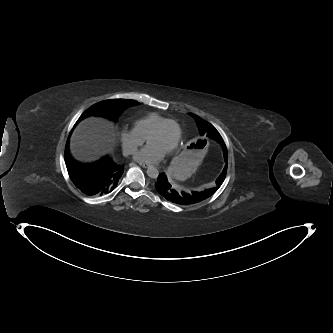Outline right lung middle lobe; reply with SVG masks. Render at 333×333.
Segmentation results:
<instances>
[{"label":"right lung middle lobe","mask_w":333,"mask_h":333,"mask_svg":"<svg viewBox=\"0 0 333 333\" xmlns=\"http://www.w3.org/2000/svg\"><path fill=\"white\" fill-rule=\"evenodd\" d=\"M139 102L128 99L105 100L88 108L79 118L77 123L88 116H104L113 120L117 118L130 106L138 105Z\"/></svg>","instance_id":"right-lung-middle-lobe-1"}]
</instances>
